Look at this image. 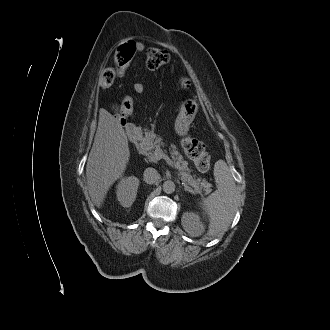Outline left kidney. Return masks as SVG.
<instances>
[{
    "label": "left kidney",
    "instance_id": "left-kidney-1",
    "mask_svg": "<svg viewBox=\"0 0 330 330\" xmlns=\"http://www.w3.org/2000/svg\"><path fill=\"white\" fill-rule=\"evenodd\" d=\"M184 230L191 236L197 237L204 233L205 226L198 214L185 212L181 219Z\"/></svg>",
    "mask_w": 330,
    "mask_h": 330
}]
</instances>
